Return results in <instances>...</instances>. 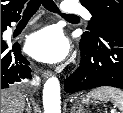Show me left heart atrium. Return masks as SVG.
I'll list each match as a JSON object with an SVG mask.
<instances>
[{"mask_svg":"<svg viewBox=\"0 0 123 113\" xmlns=\"http://www.w3.org/2000/svg\"><path fill=\"white\" fill-rule=\"evenodd\" d=\"M26 49L39 61L57 63L67 56L70 47L63 32L55 26H49L30 35Z\"/></svg>","mask_w":123,"mask_h":113,"instance_id":"39dd6f15","label":"left heart atrium"}]
</instances>
